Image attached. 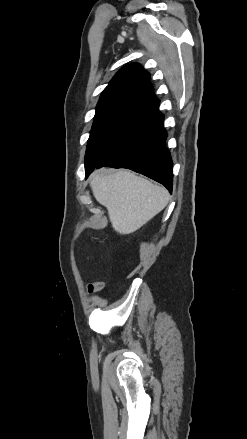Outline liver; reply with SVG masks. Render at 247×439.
Listing matches in <instances>:
<instances>
[{"label":"liver","instance_id":"6515ba94","mask_svg":"<svg viewBox=\"0 0 247 439\" xmlns=\"http://www.w3.org/2000/svg\"><path fill=\"white\" fill-rule=\"evenodd\" d=\"M90 186L95 199L107 208L114 230L126 235L138 230L161 212L168 191L131 171H95Z\"/></svg>","mask_w":247,"mask_h":439}]
</instances>
